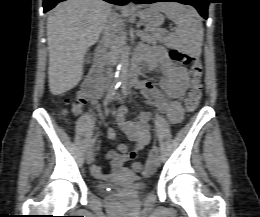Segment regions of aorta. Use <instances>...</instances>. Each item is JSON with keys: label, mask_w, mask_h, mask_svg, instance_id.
<instances>
[{"label": "aorta", "mask_w": 260, "mask_h": 217, "mask_svg": "<svg viewBox=\"0 0 260 217\" xmlns=\"http://www.w3.org/2000/svg\"><path fill=\"white\" fill-rule=\"evenodd\" d=\"M128 67H129V48L125 47L121 58H120V62L118 65V78L119 81H122L125 79L126 74L128 72Z\"/></svg>", "instance_id": "aorta-1"}]
</instances>
